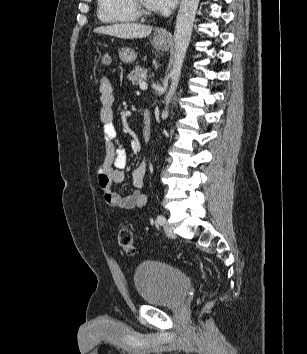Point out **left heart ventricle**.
Wrapping results in <instances>:
<instances>
[{
    "mask_svg": "<svg viewBox=\"0 0 307 354\" xmlns=\"http://www.w3.org/2000/svg\"><path fill=\"white\" fill-rule=\"evenodd\" d=\"M143 4L148 7L149 9H152L149 0H142Z\"/></svg>",
    "mask_w": 307,
    "mask_h": 354,
    "instance_id": "obj_1",
    "label": "left heart ventricle"
}]
</instances>
